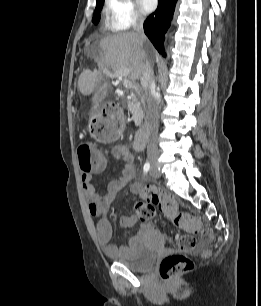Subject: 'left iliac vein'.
I'll return each mask as SVG.
<instances>
[{
    "label": "left iliac vein",
    "mask_w": 261,
    "mask_h": 306,
    "mask_svg": "<svg viewBox=\"0 0 261 306\" xmlns=\"http://www.w3.org/2000/svg\"><path fill=\"white\" fill-rule=\"evenodd\" d=\"M150 174H151V176H152L153 178H157V176H158L153 170H151V173H150Z\"/></svg>",
    "instance_id": "4c4485c4"
}]
</instances>
